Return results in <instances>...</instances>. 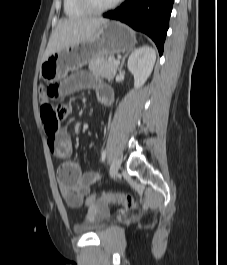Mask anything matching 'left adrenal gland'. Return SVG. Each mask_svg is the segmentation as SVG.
Segmentation results:
<instances>
[{
	"label": "left adrenal gland",
	"mask_w": 227,
	"mask_h": 265,
	"mask_svg": "<svg viewBox=\"0 0 227 265\" xmlns=\"http://www.w3.org/2000/svg\"><path fill=\"white\" fill-rule=\"evenodd\" d=\"M127 56H128V53H126V54L123 56V58H122V60H121L120 67H119V71L122 70L123 65H124V62H125V59H126Z\"/></svg>",
	"instance_id": "obj_1"
}]
</instances>
